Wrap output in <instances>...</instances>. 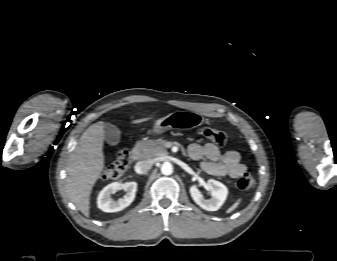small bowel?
<instances>
[{"label":"small bowel","mask_w":337,"mask_h":261,"mask_svg":"<svg viewBox=\"0 0 337 261\" xmlns=\"http://www.w3.org/2000/svg\"><path fill=\"white\" fill-rule=\"evenodd\" d=\"M188 156L201 161V169L213 176L238 178L246 172V166L241 162L237 151L221 152L213 143H193L188 148Z\"/></svg>","instance_id":"c3829d8e"}]
</instances>
